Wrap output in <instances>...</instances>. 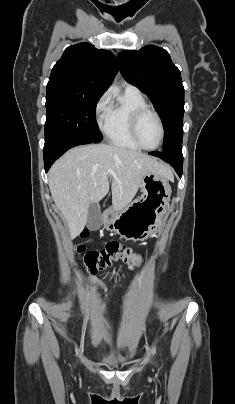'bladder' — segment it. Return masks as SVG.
Instances as JSON below:
<instances>
[{
    "label": "bladder",
    "mask_w": 235,
    "mask_h": 404,
    "mask_svg": "<svg viewBox=\"0 0 235 404\" xmlns=\"http://www.w3.org/2000/svg\"><path fill=\"white\" fill-rule=\"evenodd\" d=\"M107 364L112 365V366H118V367H125V366L128 365L126 363L118 362V361H115V360H109V361H107Z\"/></svg>",
    "instance_id": "1"
}]
</instances>
